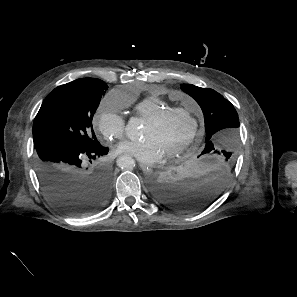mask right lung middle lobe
<instances>
[{
	"label": "right lung middle lobe",
	"mask_w": 297,
	"mask_h": 297,
	"mask_svg": "<svg viewBox=\"0 0 297 297\" xmlns=\"http://www.w3.org/2000/svg\"><path fill=\"white\" fill-rule=\"evenodd\" d=\"M108 86L72 81L55 88L44 100L33 124L34 147L48 141H66L91 149L100 145L92 119Z\"/></svg>",
	"instance_id": "right-lung-middle-lobe-1"
}]
</instances>
